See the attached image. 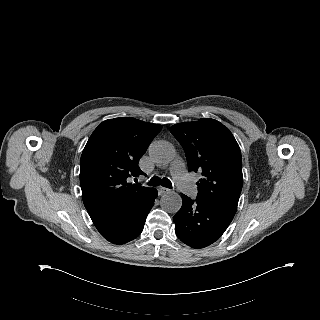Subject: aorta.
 Segmentation results:
<instances>
[{
  "mask_svg": "<svg viewBox=\"0 0 320 320\" xmlns=\"http://www.w3.org/2000/svg\"><path fill=\"white\" fill-rule=\"evenodd\" d=\"M149 157L157 165L166 166L175 157L172 144L167 141H155L149 147ZM182 206V198L175 192H169L162 196L161 207L168 213H177Z\"/></svg>",
  "mask_w": 320,
  "mask_h": 320,
  "instance_id": "aorta-1",
  "label": "aorta"
}]
</instances>
